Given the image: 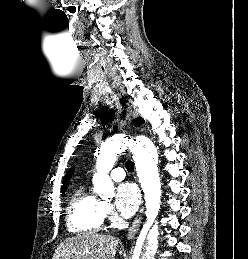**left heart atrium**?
Returning <instances> with one entry per match:
<instances>
[{"instance_id":"39dd6f15","label":"left heart atrium","mask_w":248,"mask_h":259,"mask_svg":"<svg viewBox=\"0 0 248 259\" xmlns=\"http://www.w3.org/2000/svg\"><path fill=\"white\" fill-rule=\"evenodd\" d=\"M139 202L140 195L133 184L122 183L116 188L115 206L122 216H132L136 212Z\"/></svg>"}]
</instances>
